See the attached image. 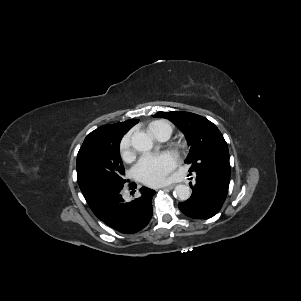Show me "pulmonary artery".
Segmentation results:
<instances>
[{
	"label": "pulmonary artery",
	"instance_id": "e3ab8cb5",
	"mask_svg": "<svg viewBox=\"0 0 301 301\" xmlns=\"http://www.w3.org/2000/svg\"><path fill=\"white\" fill-rule=\"evenodd\" d=\"M171 132L172 128L170 124L162 125L157 129L155 138L159 141H166L169 139Z\"/></svg>",
	"mask_w": 301,
	"mask_h": 301
}]
</instances>
